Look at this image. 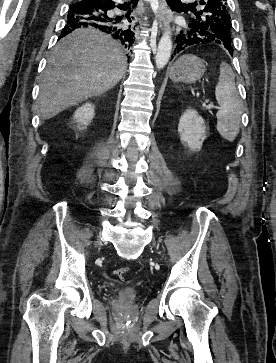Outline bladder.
<instances>
[{"label":"bladder","instance_id":"1","mask_svg":"<svg viewBox=\"0 0 276 363\" xmlns=\"http://www.w3.org/2000/svg\"><path fill=\"white\" fill-rule=\"evenodd\" d=\"M120 299L126 303H132L137 297V289L133 286H127L118 291Z\"/></svg>","mask_w":276,"mask_h":363}]
</instances>
